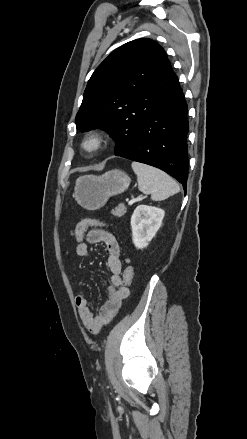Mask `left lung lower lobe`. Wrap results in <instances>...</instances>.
Instances as JSON below:
<instances>
[{"mask_svg":"<svg viewBox=\"0 0 247 439\" xmlns=\"http://www.w3.org/2000/svg\"><path fill=\"white\" fill-rule=\"evenodd\" d=\"M187 132V104L178 83L141 121L128 149L115 155L157 167L176 178L186 190Z\"/></svg>","mask_w":247,"mask_h":439,"instance_id":"1","label":"left lung lower lobe"}]
</instances>
